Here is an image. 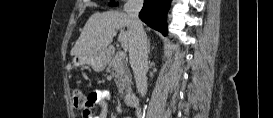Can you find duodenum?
<instances>
[{
    "instance_id": "obj_1",
    "label": "duodenum",
    "mask_w": 273,
    "mask_h": 118,
    "mask_svg": "<svg viewBox=\"0 0 273 118\" xmlns=\"http://www.w3.org/2000/svg\"><path fill=\"white\" fill-rule=\"evenodd\" d=\"M124 103L128 107H136L139 103V98L134 91H128L123 96Z\"/></svg>"
}]
</instances>
